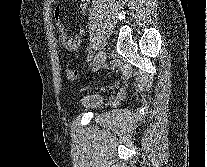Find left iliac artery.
<instances>
[{
    "mask_svg": "<svg viewBox=\"0 0 207 167\" xmlns=\"http://www.w3.org/2000/svg\"><path fill=\"white\" fill-rule=\"evenodd\" d=\"M92 57H93V51H92V49H90L88 52L87 60L91 61Z\"/></svg>",
    "mask_w": 207,
    "mask_h": 167,
    "instance_id": "obj_1",
    "label": "left iliac artery"
}]
</instances>
